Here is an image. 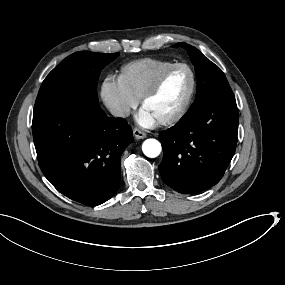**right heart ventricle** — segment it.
<instances>
[{
  "label": "right heart ventricle",
  "instance_id": "obj_1",
  "mask_svg": "<svg viewBox=\"0 0 285 285\" xmlns=\"http://www.w3.org/2000/svg\"><path fill=\"white\" fill-rule=\"evenodd\" d=\"M133 68L134 75L131 90L137 98H140L166 70L172 68V65L158 59L145 58L135 62Z\"/></svg>",
  "mask_w": 285,
  "mask_h": 285
}]
</instances>
